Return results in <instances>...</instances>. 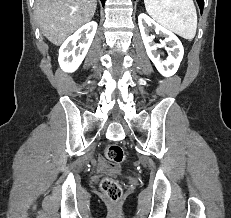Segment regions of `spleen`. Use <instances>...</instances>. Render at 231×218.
I'll return each instance as SVG.
<instances>
[{
  "instance_id": "obj_1",
  "label": "spleen",
  "mask_w": 231,
  "mask_h": 218,
  "mask_svg": "<svg viewBox=\"0 0 231 218\" xmlns=\"http://www.w3.org/2000/svg\"><path fill=\"white\" fill-rule=\"evenodd\" d=\"M148 14L184 39L192 40L197 29L193 0H144Z\"/></svg>"
}]
</instances>
